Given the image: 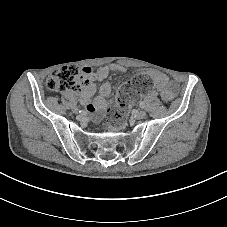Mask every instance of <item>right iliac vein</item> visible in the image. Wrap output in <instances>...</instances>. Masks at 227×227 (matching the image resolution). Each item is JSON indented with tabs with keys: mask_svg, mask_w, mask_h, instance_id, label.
I'll return each mask as SVG.
<instances>
[{
	"mask_svg": "<svg viewBox=\"0 0 227 227\" xmlns=\"http://www.w3.org/2000/svg\"><path fill=\"white\" fill-rule=\"evenodd\" d=\"M72 110H73L74 113H78V108H77L76 106H74V107L72 108Z\"/></svg>",
	"mask_w": 227,
	"mask_h": 227,
	"instance_id": "obj_1",
	"label": "right iliac vein"
}]
</instances>
